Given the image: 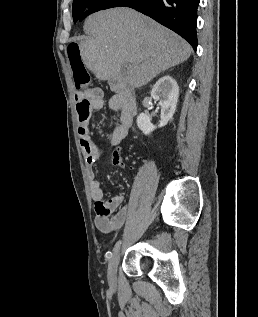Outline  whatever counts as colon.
<instances>
[{"instance_id":"colon-1","label":"colon","mask_w":258,"mask_h":317,"mask_svg":"<svg viewBox=\"0 0 258 317\" xmlns=\"http://www.w3.org/2000/svg\"><path fill=\"white\" fill-rule=\"evenodd\" d=\"M67 57L76 89L81 92L88 90L91 85V75L84 64L78 43L72 42L68 45Z\"/></svg>"}]
</instances>
